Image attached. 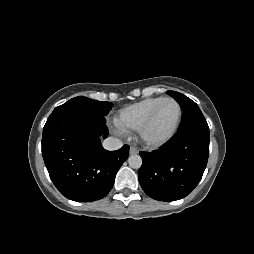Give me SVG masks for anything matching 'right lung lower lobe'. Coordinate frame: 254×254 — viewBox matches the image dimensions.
I'll return each instance as SVG.
<instances>
[{
    "label": "right lung lower lobe",
    "instance_id": "right-lung-lower-lobe-1",
    "mask_svg": "<svg viewBox=\"0 0 254 254\" xmlns=\"http://www.w3.org/2000/svg\"><path fill=\"white\" fill-rule=\"evenodd\" d=\"M105 117L75 110L53 111L42 136V155L50 178L68 199L89 202L104 198L127 160L129 146L105 150Z\"/></svg>",
    "mask_w": 254,
    "mask_h": 254
}]
</instances>
